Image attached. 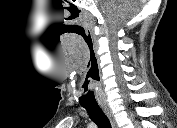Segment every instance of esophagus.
Returning <instances> with one entry per match:
<instances>
[{"label":"esophagus","instance_id":"obj_1","mask_svg":"<svg viewBox=\"0 0 177 128\" xmlns=\"http://www.w3.org/2000/svg\"><path fill=\"white\" fill-rule=\"evenodd\" d=\"M101 108L104 111V113L106 114V116L108 117L112 128H118L117 124H116V121H115V118H114V115H113L110 107L108 105H102Z\"/></svg>","mask_w":177,"mask_h":128}]
</instances>
